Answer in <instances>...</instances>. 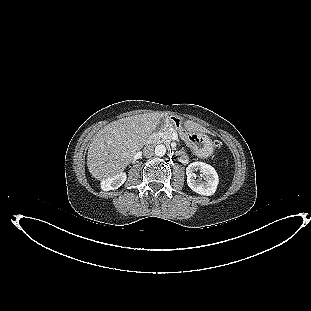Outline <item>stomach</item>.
Masks as SVG:
<instances>
[{"label":"stomach","instance_id":"1","mask_svg":"<svg viewBox=\"0 0 311 311\" xmlns=\"http://www.w3.org/2000/svg\"><path fill=\"white\" fill-rule=\"evenodd\" d=\"M163 125L168 124L175 128L176 131L186 140L188 146L191 148L193 153L202 158L209 157L214 152V145L208 135L200 131L191 130L177 116H166L163 118Z\"/></svg>","mask_w":311,"mask_h":311}]
</instances>
